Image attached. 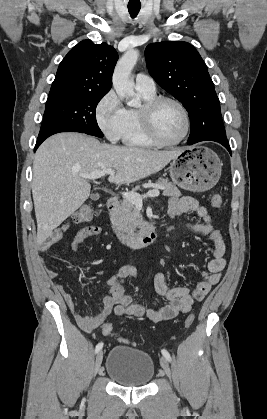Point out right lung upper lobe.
I'll return each mask as SVG.
<instances>
[{"mask_svg":"<svg viewBox=\"0 0 267 419\" xmlns=\"http://www.w3.org/2000/svg\"><path fill=\"white\" fill-rule=\"evenodd\" d=\"M117 60L112 46L83 40L59 64L50 93H108Z\"/></svg>","mask_w":267,"mask_h":419,"instance_id":"right-lung-upper-lobe-1","label":"right lung upper lobe"}]
</instances>
